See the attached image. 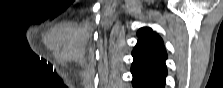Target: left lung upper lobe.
Here are the masks:
<instances>
[{
  "instance_id": "left-lung-upper-lobe-1",
  "label": "left lung upper lobe",
  "mask_w": 223,
  "mask_h": 88,
  "mask_svg": "<svg viewBox=\"0 0 223 88\" xmlns=\"http://www.w3.org/2000/svg\"><path fill=\"white\" fill-rule=\"evenodd\" d=\"M139 40L132 55L134 60L148 62L166 70L167 54L162 39L151 28H141L137 33Z\"/></svg>"
}]
</instances>
